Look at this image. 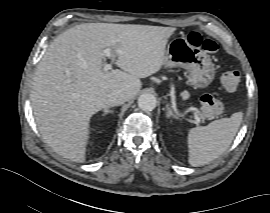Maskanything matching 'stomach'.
Masks as SVG:
<instances>
[{
    "label": "stomach",
    "instance_id": "1",
    "mask_svg": "<svg viewBox=\"0 0 270 213\" xmlns=\"http://www.w3.org/2000/svg\"><path fill=\"white\" fill-rule=\"evenodd\" d=\"M164 65L186 69L188 82L195 89L206 88L215 76L214 65L208 55L190 45L185 37L174 38L168 44Z\"/></svg>",
    "mask_w": 270,
    "mask_h": 213
}]
</instances>
